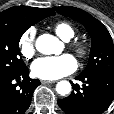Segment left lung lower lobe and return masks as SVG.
I'll return each instance as SVG.
<instances>
[{
	"label": "left lung lower lobe",
	"instance_id": "left-lung-lower-lobe-1",
	"mask_svg": "<svg viewBox=\"0 0 114 114\" xmlns=\"http://www.w3.org/2000/svg\"><path fill=\"white\" fill-rule=\"evenodd\" d=\"M83 85L73 84V92L58 100L66 114H101L114 99V73L80 74Z\"/></svg>",
	"mask_w": 114,
	"mask_h": 114
}]
</instances>
